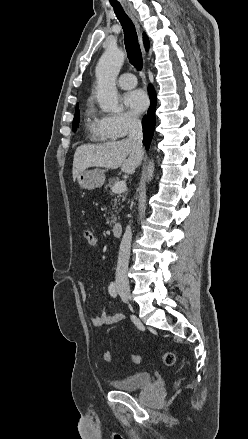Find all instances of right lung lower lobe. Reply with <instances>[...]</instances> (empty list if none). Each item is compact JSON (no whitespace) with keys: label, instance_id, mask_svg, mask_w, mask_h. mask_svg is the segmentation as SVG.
I'll return each mask as SVG.
<instances>
[{"label":"right lung lower lobe","instance_id":"1","mask_svg":"<svg viewBox=\"0 0 248 439\" xmlns=\"http://www.w3.org/2000/svg\"><path fill=\"white\" fill-rule=\"evenodd\" d=\"M149 95H150V107L147 114L142 119L143 126V144L146 149H149L151 139L154 133L155 127V110H156V94L152 85L148 87Z\"/></svg>","mask_w":248,"mask_h":439}]
</instances>
